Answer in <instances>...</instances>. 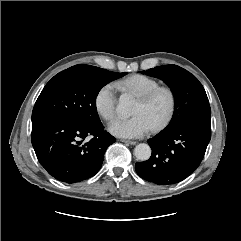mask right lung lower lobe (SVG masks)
I'll use <instances>...</instances> for the list:
<instances>
[{
	"mask_svg": "<svg viewBox=\"0 0 241 241\" xmlns=\"http://www.w3.org/2000/svg\"><path fill=\"white\" fill-rule=\"evenodd\" d=\"M92 139L83 143L87 136ZM32 145L39 163L55 179L76 183L94 176L116 139L102 123L86 125L63 119L32 123Z\"/></svg>",
	"mask_w": 241,
	"mask_h": 241,
	"instance_id": "1",
	"label": "right lung lower lobe"
}]
</instances>
